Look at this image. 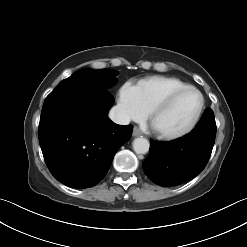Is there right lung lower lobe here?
<instances>
[{
  "instance_id": "right-lung-lower-lobe-1",
  "label": "right lung lower lobe",
  "mask_w": 247,
  "mask_h": 247,
  "mask_svg": "<svg viewBox=\"0 0 247 247\" xmlns=\"http://www.w3.org/2000/svg\"><path fill=\"white\" fill-rule=\"evenodd\" d=\"M113 102L112 95L98 87L62 89L47 96L39 142L45 163L58 181L88 188L107 174L133 130L132 125H117L106 116Z\"/></svg>"
}]
</instances>
